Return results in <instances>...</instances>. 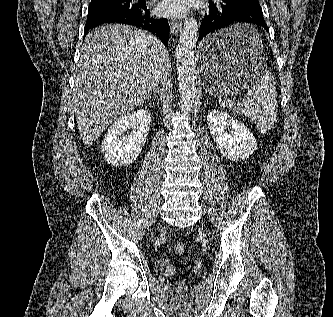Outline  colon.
<instances>
[{
    "mask_svg": "<svg viewBox=\"0 0 333 317\" xmlns=\"http://www.w3.org/2000/svg\"><path fill=\"white\" fill-rule=\"evenodd\" d=\"M174 251L177 255L182 256L186 252V247L183 243H176L174 246ZM184 289H185L184 284H180L179 290L184 291Z\"/></svg>",
    "mask_w": 333,
    "mask_h": 317,
    "instance_id": "colon-1",
    "label": "colon"
}]
</instances>
